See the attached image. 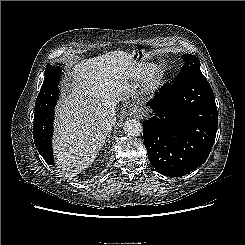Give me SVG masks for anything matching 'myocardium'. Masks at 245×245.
<instances>
[{
  "instance_id": "myocardium-1",
  "label": "myocardium",
  "mask_w": 245,
  "mask_h": 245,
  "mask_svg": "<svg viewBox=\"0 0 245 245\" xmlns=\"http://www.w3.org/2000/svg\"><path fill=\"white\" fill-rule=\"evenodd\" d=\"M158 72H159V67L156 65H153L150 69V72H149L148 81L152 82L155 79V77L157 76Z\"/></svg>"
}]
</instances>
